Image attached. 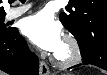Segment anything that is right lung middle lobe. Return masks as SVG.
<instances>
[{"label": "right lung middle lobe", "mask_w": 107, "mask_h": 75, "mask_svg": "<svg viewBox=\"0 0 107 75\" xmlns=\"http://www.w3.org/2000/svg\"><path fill=\"white\" fill-rule=\"evenodd\" d=\"M5 14H0V37L9 34L13 28H6L4 24Z\"/></svg>", "instance_id": "dd1d6c3e"}]
</instances>
